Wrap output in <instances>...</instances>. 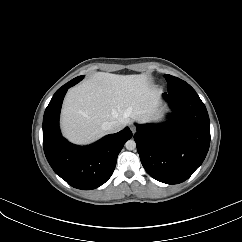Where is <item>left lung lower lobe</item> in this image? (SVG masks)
I'll return each mask as SVG.
<instances>
[{
	"label": "left lung lower lobe",
	"mask_w": 242,
	"mask_h": 242,
	"mask_svg": "<svg viewBox=\"0 0 242 242\" xmlns=\"http://www.w3.org/2000/svg\"><path fill=\"white\" fill-rule=\"evenodd\" d=\"M173 113L166 124L136 125L134 139L143 167L166 184L187 180L202 164L210 145V121L195 91L163 94Z\"/></svg>",
	"instance_id": "obj_1"
}]
</instances>
